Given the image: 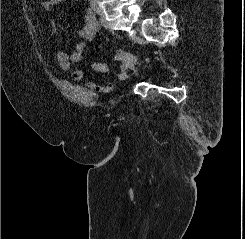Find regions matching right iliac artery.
<instances>
[{"mask_svg":"<svg viewBox=\"0 0 245 239\" xmlns=\"http://www.w3.org/2000/svg\"><path fill=\"white\" fill-rule=\"evenodd\" d=\"M97 23H98L100 26H103L106 30L108 29V25H107V23H106L103 19L97 20Z\"/></svg>","mask_w":245,"mask_h":239,"instance_id":"right-iliac-artery-1","label":"right iliac artery"}]
</instances>
